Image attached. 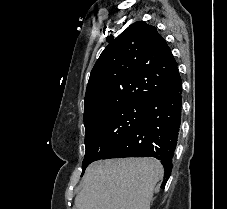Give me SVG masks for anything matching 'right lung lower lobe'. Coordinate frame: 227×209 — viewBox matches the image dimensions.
Returning a JSON list of instances; mask_svg holds the SVG:
<instances>
[{"label":"right lung lower lobe","instance_id":"right-lung-lower-lobe-1","mask_svg":"<svg viewBox=\"0 0 227 209\" xmlns=\"http://www.w3.org/2000/svg\"><path fill=\"white\" fill-rule=\"evenodd\" d=\"M163 73L171 84L149 98L142 119L102 159L120 157H155L164 171V188L171 174L172 158L179 134L182 106V84L175 66H165Z\"/></svg>","mask_w":227,"mask_h":209}]
</instances>
